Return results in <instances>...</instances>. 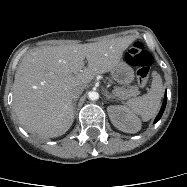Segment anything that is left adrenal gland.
I'll return each instance as SVG.
<instances>
[{
	"label": "left adrenal gland",
	"mask_w": 187,
	"mask_h": 187,
	"mask_svg": "<svg viewBox=\"0 0 187 187\" xmlns=\"http://www.w3.org/2000/svg\"><path fill=\"white\" fill-rule=\"evenodd\" d=\"M105 96L108 100H111V99H116L118 100V98H116L114 95L110 94L109 92L105 91Z\"/></svg>",
	"instance_id": "obj_1"
}]
</instances>
